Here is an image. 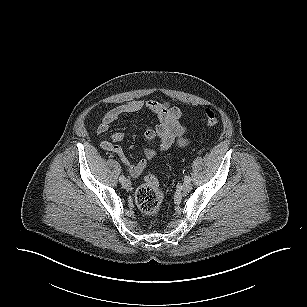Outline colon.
I'll use <instances>...</instances> for the list:
<instances>
[{
	"label": "colon",
	"mask_w": 307,
	"mask_h": 307,
	"mask_svg": "<svg viewBox=\"0 0 307 307\" xmlns=\"http://www.w3.org/2000/svg\"><path fill=\"white\" fill-rule=\"evenodd\" d=\"M206 124L213 127L217 124L218 118L214 110H205ZM163 199V192L159 186V180L154 174H148L144 182L138 187L135 193V201L138 208L146 215L157 217L160 214V205Z\"/></svg>",
	"instance_id": "obj_1"
}]
</instances>
